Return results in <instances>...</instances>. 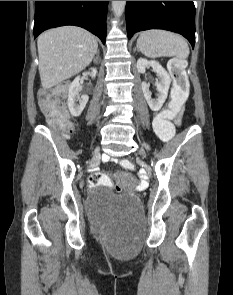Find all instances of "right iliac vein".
Returning <instances> with one entry per match:
<instances>
[{
	"mask_svg": "<svg viewBox=\"0 0 233 295\" xmlns=\"http://www.w3.org/2000/svg\"><path fill=\"white\" fill-rule=\"evenodd\" d=\"M98 151H99V149H98V148H96V150H95V152H94V153H95V154H98Z\"/></svg>",
	"mask_w": 233,
	"mask_h": 295,
	"instance_id": "obj_1",
	"label": "right iliac vein"
}]
</instances>
